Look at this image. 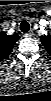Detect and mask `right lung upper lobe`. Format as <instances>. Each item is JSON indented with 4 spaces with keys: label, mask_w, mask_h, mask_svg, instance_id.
Instances as JSON below:
<instances>
[{
    "label": "right lung upper lobe",
    "mask_w": 51,
    "mask_h": 101,
    "mask_svg": "<svg viewBox=\"0 0 51 101\" xmlns=\"http://www.w3.org/2000/svg\"><path fill=\"white\" fill-rule=\"evenodd\" d=\"M20 39L17 34H0V60L6 59L12 51L15 43Z\"/></svg>",
    "instance_id": "1"
}]
</instances>
